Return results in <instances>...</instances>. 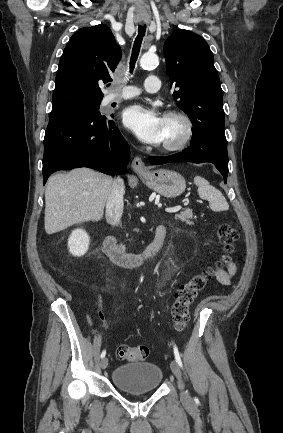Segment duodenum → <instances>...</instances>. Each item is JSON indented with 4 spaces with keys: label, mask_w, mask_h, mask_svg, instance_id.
<instances>
[{
    "label": "duodenum",
    "mask_w": 283,
    "mask_h": 433,
    "mask_svg": "<svg viewBox=\"0 0 283 433\" xmlns=\"http://www.w3.org/2000/svg\"><path fill=\"white\" fill-rule=\"evenodd\" d=\"M166 237V228L159 225L156 228L153 241L142 253H129L123 249L113 235H108L103 241V252L117 265L127 268H137L155 258L161 251Z\"/></svg>",
    "instance_id": "duodenum-1"
}]
</instances>
